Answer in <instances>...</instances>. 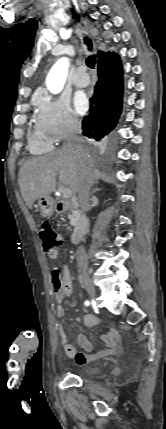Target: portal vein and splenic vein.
<instances>
[{
  "mask_svg": "<svg viewBox=\"0 0 166 429\" xmlns=\"http://www.w3.org/2000/svg\"><path fill=\"white\" fill-rule=\"evenodd\" d=\"M60 191L63 194L64 198H70L72 196V191L68 187H63L60 189Z\"/></svg>",
  "mask_w": 166,
  "mask_h": 429,
  "instance_id": "1",
  "label": "portal vein and splenic vein"
}]
</instances>
